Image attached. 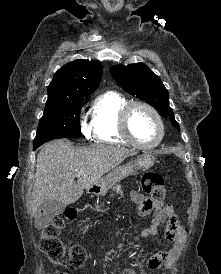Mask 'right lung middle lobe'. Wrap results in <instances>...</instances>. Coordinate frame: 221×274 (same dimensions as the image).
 <instances>
[{
    "label": "right lung middle lobe",
    "mask_w": 221,
    "mask_h": 274,
    "mask_svg": "<svg viewBox=\"0 0 221 274\" xmlns=\"http://www.w3.org/2000/svg\"><path fill=\"white\" fill-rule=\"evenodd\" d=\"M88 96L60 101H47L34 139V148H38L52 139L79 136L81 132V103Z\"/></svg>",
    "instance_id": "right-lung-middle-lobe-1"
}]
</instances>
